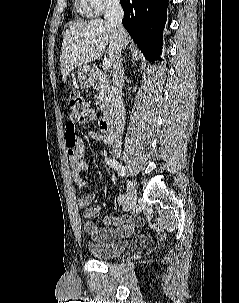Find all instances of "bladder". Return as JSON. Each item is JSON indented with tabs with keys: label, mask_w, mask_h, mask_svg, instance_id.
<instances>
[{
	"label": "bladder",
	"mask_w": 239,
	"mask_h": 303,
	"mask_svg": "<svg viewBox=\"0 0 239 303\" xmlns=\"http://www.w3.org/2000/svg\"><path fill=\"white\" fill-rule=\"evenodd\" d=\"M129 241L88 242L87 248L95 259H109L122 255L128 248Z\"/></svg>",
	"instance_id": "obj_1"
}]
</instances>
